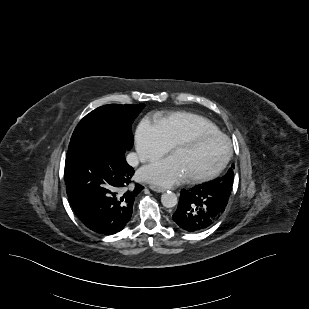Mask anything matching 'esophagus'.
<instances>
[{
  "label": "esophagus",
  "mask_w": 309,
  "mask_h": 309,
  "mask_svg": "<svg viewBox=\"0 0 309 309\" xmlns=\"http://www.w3.org/2000/svg\"><path fill=\"white\" fill-rule=\"evenodd\" d=\"M149 188L155 192H164L165 188L158 185H150Z\"/></svg>",
  "instance_id": "1"
}]
</instances>
